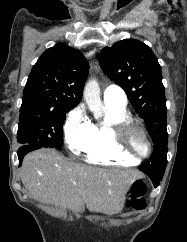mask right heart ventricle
I'll return each instance as SVG.
<instances>
[{
  "mask_svg": "<svg viewBox=\"0 0 187 242\" xmlns=\"http://www.w3.org/2000/svg\"><path fill=\"white\" fill-rule=\"evenodd\" d=\"M123 118H129L126 106L105 105L104 119L97 124H93V139L84 151L86 162L102 166H133L138 163L118 152L113 144L111 125Z\"/></svg>",
  "mask_w": 187,
  "mask_h": 242,
  "instance_id": "e07e8e85",
  "label": "right heart ventricle"
}]
</instances>
